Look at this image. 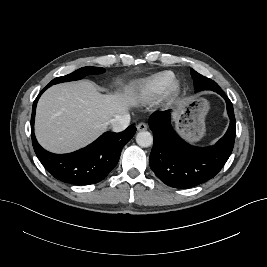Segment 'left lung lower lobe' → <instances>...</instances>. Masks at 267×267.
<instances>
[{"label":"left lung lower lobe","instance_id":"0a47b994","mask_svg":"<svg viewBox=\"0 0 267 267\" xmlns=\"http://www.w3.org/2000/svg\"><path fill=\"white\" fill-rule=\"evenodd\" d=\"M203 90H213L225 99L230 118L226 134L214 146L195 147L182 140L171 126L170 111L155 112L149 118L154 137L150 167L160 180L174 188H191L212 179L233 150L236 134L233 105L221 88Z\"/></svg>","mask_w":267,"mask_h":267}]
</instances>
